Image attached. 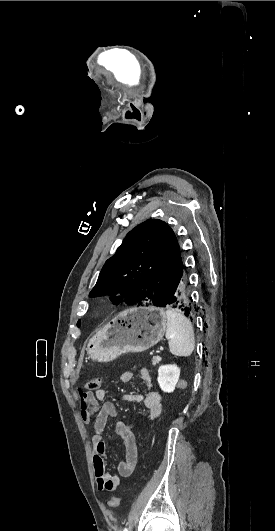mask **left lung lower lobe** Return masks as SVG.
<instances>
[{
  "instance_id": "obj_1",
  "label": "left lung lower lobe",
  "mask_w": 275,
  "mask_h": 531,
  "mask_svg": "<svg viewBox=\"0 0 275 531\" xmlns=\"http://www.w3.org/2000/svg\"><path fill=\"white\" fill-rule=\"evenodd\" d=\"M165 306L181 311L185 316L192 319L196 308L193 304L190 284L185 273H183L175 292Z\"/></svg>"
}]
</instances>
